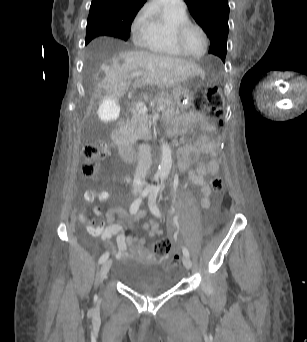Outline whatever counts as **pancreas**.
<instances>
[{"mask_svg": "<svg viewBox=\"0 0 307 342\" xmlns=\"http://www.w3.org/2000/svg\"><path fill=\"white\" fill-rule=\"evenodd\" d=\"M172 103V97L161 96V98H156V100H153L151 106L163 108V116H165V118H172V116H178L179 114L178 110H175V108H171V106H168V104ZM136 122H141L140 128H136ZM131 124H133L135 132H137V134H145L144 128L147 124V116L138 114V112H132Z\"/></svg>", "mask_w": 307, "mask_h": 342, "instance_id": "cf45deb5", "label": "pancreas"}]
</instances>
